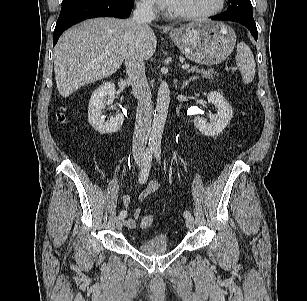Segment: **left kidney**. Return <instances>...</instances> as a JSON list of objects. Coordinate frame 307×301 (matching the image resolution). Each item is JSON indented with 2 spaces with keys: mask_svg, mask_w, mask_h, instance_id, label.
<instances>
[{
  "mask_svg": "<svg viewBox=\"0 0 307 301\" xmlns=\"http://www.w3.org/2000/svg\"><path fill=\"white\" fill-rule=\"evenodd\" d=\"M207 100L217 107V113L210 117V122L195 117L194 125L205 136H216L230 123L233 111L230 104L216 91L208 93Z\"/></svg>",
  "mask_w": 307,
  "mask_h": 301,
  "instance_id": "1",
  "label": "left kidney"
}]
</instances>
